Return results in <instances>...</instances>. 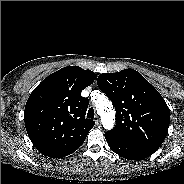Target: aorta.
I'll use <instances>...</instances> for the list:
<instances>
[{
    "label": "aorta",
    "mask_w": 184,
    "mask_h": 184,
    "mask_svg": "<svg viewBox=\"0 0 184 184\" xmlns=\"http://www.w3.org/2000/svg\"><path fill=\"white\" fill-rule=\"evenodd\" d=\"M95 106L98 114L101 117L103 127L107 130H110L114 126V110L112 104L108 98L105 96H100L96 102Z\"/></svg>",
    "instance_id": "762f6f07"
}]
</instances>
